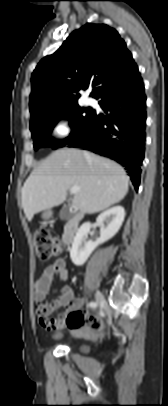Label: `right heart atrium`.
<instances>
[{
  "label": "right heart atrium",
  "mask_w": 168,
  "mask_h": 406,
  "mask_svg": "<svg viewBox=\"0 0 168 406\" xmlns=\"http://www.w3.org/2000/svg\"><path fill=\"white\" fill-rule=\"evenodd\" d=\"M72 129L71 118L67 114H60L52 123L51 131L55 138L63 139L68 136Z\"/></svg>",
  "instance_id": "right-heart-atrium-1"
}]
</instances>
